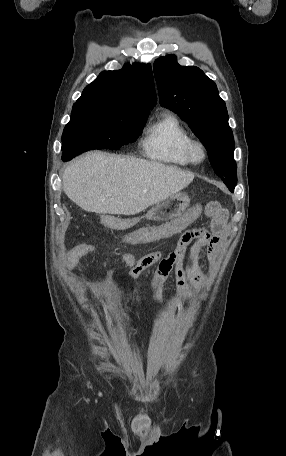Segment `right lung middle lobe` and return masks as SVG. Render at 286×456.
<instances>
[{"mask_svg":"<svg viewBox=\"0 0 286 456\" xmlns=\"http://www.w3.org/2000/svg\"><path fill=\"white\" fill-rule=\"evenodd\" d=\"M148 114H135L102 106L74 104L62 135V160L91 149L117 150L136 141Z\"/></svg>","mask_w":286,"mask_h":456,"instance_id":"right-lung-middle-lobe-1","label":"right lung middle lobe"}]
</instances>
